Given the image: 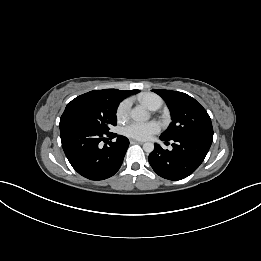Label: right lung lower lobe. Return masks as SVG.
I'll return each instance as SVG.
<instances>
[{
  "label": "right lung lower lobe",
  "mask_w": 261,
  "mask_h": 261,
  "mask_svg": "<svg viewBox=\"0 0 261 261\" xmlns=\"http://www.w3.org/2000/svg\"><path fill=\"white\" fill-rule=\"evenodd\" d=\"M60 136L64 153L72 167L90 180H104L113 176L121 167L129 140L115 133L102 134L94 130L61 126ZM106 137L115 142L100 147Z\"/></svg>",
  "instance_id": "1"
}]
</instances>
